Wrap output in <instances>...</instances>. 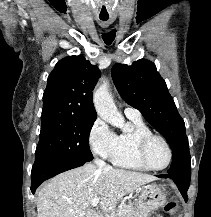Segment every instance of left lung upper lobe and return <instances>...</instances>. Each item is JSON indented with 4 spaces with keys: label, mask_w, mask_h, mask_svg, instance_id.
<instances>
[{
    "label": "left lung upper lobe",
    "mask_w": 211,
    "mask_h": 217,
    "mask_svg": "<svg viewBox=\"0 0 211 217\" xmlns=\"http://www.w3.org/2000/svg\"><path fill=\"white\" fill-rule=\"evenodd\" d=\"M112 78L125 102L138 109L169 143L172 164L168 174L191 176L185 124L155 64L146 59H140L131 66L115 64Z\"/></svg>",
    "instance_id": "left-lung-upper-lobe-1"
}]
</instances>
